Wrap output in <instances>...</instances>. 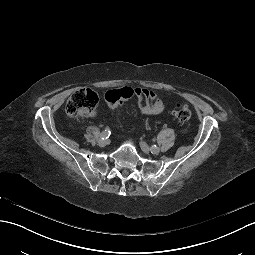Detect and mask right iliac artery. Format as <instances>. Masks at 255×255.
Returning <instances> with one entry per match:
<instances>
[{
	"label": "right iliac artery",
	"instance_id": "1",
	"mask_svg": "<svg viewBox=\"0 0 255 255\" xmlns=\"http://www.w3.org/2000/svg\"><path fill=\"white\" fill-rule=\"evenodd\" d=\"M111 134V131L109 128H106L100 135L101 139L104 140V139H107Z\"/></svg>",
	"mask_w": 255,
	"mask_h": 255
}]
</instances>
